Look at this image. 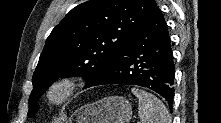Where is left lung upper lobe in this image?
Here are the masks:
<instances>
[{
	"mask_svg": "<svg viewBox=\"0 0 221 123\" xmlns=\"http://www.w3.org/2000/svg\"><path fill=\"white\" fill-rule=\"evenodd\" d=\"M157 10L154 0H89L73 8L46 40L32 78L28 116L58 78L81 76L87 87Z\"/></svg>",
	"mask_w": 221,
	"mask_h": 123,
	"instance_id": "left-lung-upper-lobe-1",
	"label": "left lung upper lobe"
}]
</instances>
